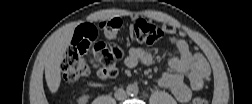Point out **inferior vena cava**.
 Masks as SVG:
<instances>
[{"instance_id":"inferior-vena-cava-1","label":"inferior vena cava","mask_w":252,"mask_h":104,"mask_svg":"<svg viewBox=\"0 0 252 104\" xmlns=\"http://www.w3.org/2000/svg\"><path fill=\"white\" fill-rule=\"evenodd\" d=\"M114 96H115V98H116L117 100L122 101V100H125V99H126L127 94H126V92H125L124 89H121V88H120V89H117V90L115 91Z\"/></svg>"}]
</instances>
